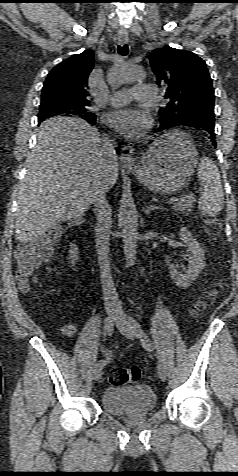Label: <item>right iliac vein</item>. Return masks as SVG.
<instances>
[{
  "label": "right iliac vein",
  "mask_w": 238,
  "mask_h": 476,
  "mask_svg": "<svg viewBox=\"0 0 238 476\" xmlns=\"http://www.w3.org/2000/svg\"><path fill=\"white\" fill-rule=\"evenodd\" d=\"M108 315H109L111 323L114 324L117 319L118 312L114 308H109ZM101 376H102V368H96L93 371V380L98 381L101 378Z\"/></svg>",
  "instance_id": "right-iliac-vein-1"
}]
</instances>
